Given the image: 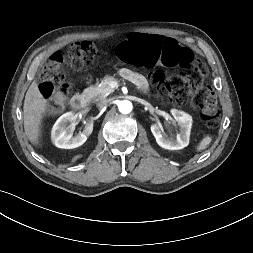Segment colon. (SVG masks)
Returning a JSON list of instances; mask_svg holds the SVG:
<instances>
[{"mask_svg":"<svg viewBox=\"0 0 253 253\" xmlns=\"http://www.w3.org/2000/svg\"><path fill=\"white\" fill-rule=\"evenodd\" d=\"M120 60L142 67L160 66L178 72L166 77L163 72L150 74V81L158 87L164 98L183 103L191 96L192 105L209 127H214L219 116L217 99L210 88L204 85L207 70L193 53L175 40L149 34H133L117 48ZM102 56V51L91 42H74L66 53L55 52L43 68L39 89L41 94L51 100L50 108L57 110L69 93V83L63 65L83 67L91 65Z\"/></svg>","mask_w":253,"mask_h":253,"instance_id":"obj_1","label":"colon"}]
</instances>
